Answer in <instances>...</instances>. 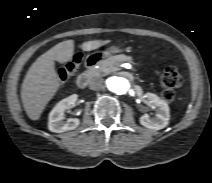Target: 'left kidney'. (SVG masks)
<instances>
[{"instance_id":"1","label":"left kidney","mask_w":212,"mask_h":183,"mask_svg":"<svg viewBox=\"0 0 212 183\" xmlns=\"http://www.w3.org/2000/svg\"><path fill=\"white\" fill-rule=\"evenodd\" d=\"M148 102L156 108V116L149 117L145 114L140 117V124L152 130H160L168 125L170 109L168 104L153 93L145 94Z\"/></svg>"}]
</instances>
